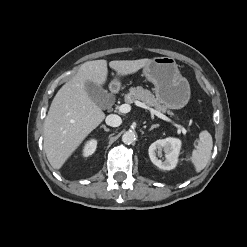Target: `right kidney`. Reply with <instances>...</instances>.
<instances>
[{
    "instance_id": "1",
    "label": "right kidney",
    "mask_w": 247,
    "mask_h": 247,
    "mask_svg": "<svg viewBox=\"0 0 247 247\" xmlns=\"http://www.w3.org/2000/svg\"><path fill=\"white\" fill-rule=\"evenodd\" d=\"M96 148H97V140L96 139L89 140L84 146L83 156L88 157L92 155L95 152Z\"/></svg>"
}]
</instances>
